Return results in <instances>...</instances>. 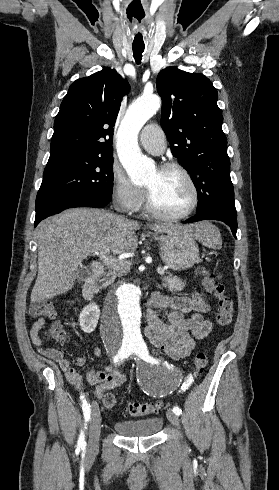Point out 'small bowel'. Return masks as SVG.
Segmentation results:
<instances>
[{"label": "small bowel", "mask_w": 279, "mask_h": 490, "mask_svg": "<svg viewBox=\"0 0 279 490\" xmlns=\"http://www.w3.org/2000/svg\"><path fill=\"white\" fill-rule=\"evenodd\" d=\"M162 310H167L163 315ZM210 310L209 304L199 296H168L153 293L145 311L146 326L144 334L149 342L163 355L172 360L186 358L195 348V341L204 339L212 330V323L204 319L203 314ZM184 313H191L189 318ZM47 323L38 319L31 326L29 335L32 343L43 356L56 361L65 373L68 381L79 391L87 386L94 387V395L101 398L106 391L115 389L127 379V374L115 367L101 370H89L83 378L64 354L56 348H43V328ZM102 348L92 350L94 357L102 355ZM79 358L77 364H82Z\"/></svg>", "instance_id": "1"}]
</instances>
